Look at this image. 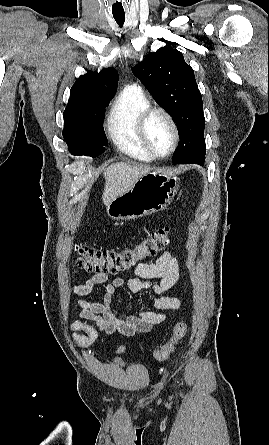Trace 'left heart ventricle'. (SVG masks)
Returning a JSON list of instances; mask_svg holds the SVG:
<instances>
[{
	"mask_svg": "<svg viewBox=\"0 0 269 445\" xmlns=\"http://www.w3.org/2000/svg\"><path fill=\"white\" fill-rule=\"evenodd\" d=\"M147 138L158 154H165L173 143V132L168 120L161 114H154L147 124Z\"/></svg>",
	"mask_w": 269,
	"mask_h": 445,
	"instance_id": "1",
	"label": "left heart ventricle"
}]
</instances>
